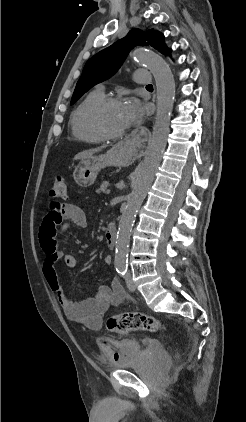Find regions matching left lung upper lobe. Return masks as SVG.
<instances>
[{"instance_id": "1", "label": "left lung upper lobe", "mask_w": 246, "mask_h": 422, "mask_svg": "<svg viewBox=\"0 0 246 422\" xmlns=\"http://www.w3.org/2000/svg\"><path fill=\"white\" fill-rule=\"evenodd\" d=\"M135 46H151L166 55L171 52L164 43L162 33L156 30L148 32L140 29L131 30L126 37L100 51L86 62L73 93L71 105L94 85L110 78L121 67L128 53Z\"/></svg>"}]
</instances>
